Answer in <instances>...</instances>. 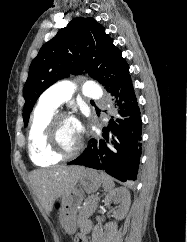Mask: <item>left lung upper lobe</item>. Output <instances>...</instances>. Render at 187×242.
Segmentation results:
<instances>
[{"instance_id":"5c2ea615","label":"left lung upper lobe","mask_w":187,"mask_h":242,"mask_svg":"<svg viewBox=\"0 0 187 242\" xmlns=\"http://www.w3.org/2000/svg\"><path fill=\"white\" fill-rule=\"evenodd\" d=\"M83 70L108 91L129 74L121 51L93 18H74L42 46L32 61L23 89L24 125L27 126L37 99L49 86L69 74H83Z\"/></svg>"}]
</instances>
